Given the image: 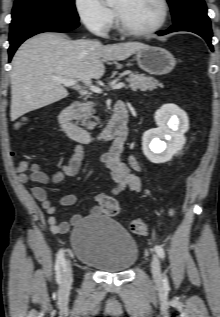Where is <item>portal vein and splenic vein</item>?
<instances>
[{
  "label": "portal vein and splenic vein",
  "mask_w": 220,
  "mask_h": 317,
  "mask_svg": "<svg viewBox=\"0 0 220 317\" xmlns=\"http://www.w3.org/2000/svg\"><path fill=\"white\" fill-rule=\"evenodd\" d=\"M53 80L62 83L65 87H71V86H75V85L78 84V80H76V79H64V78H61V77L54 76ZM123 87H125L124 83H118V84L114 85L112 87V89H114V90L122 89ZM90 90L95 92V93H102V89H100L99 87L94 86V85L90 86Z\"/></svg>",
  "instance_id": "portal-vein-and-splenic-vein-1"
}]
</instances>
